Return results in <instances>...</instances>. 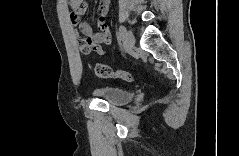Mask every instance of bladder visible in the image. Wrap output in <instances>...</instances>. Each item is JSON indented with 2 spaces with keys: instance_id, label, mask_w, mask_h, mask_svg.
I'll use <instances>...</instances> for the list:
<instances>
[{
  "instance_id": "1",
  "label": "bladder",
  "mask_w": 239,
  "mask_h": 156,
  "mask_svg": "<svg viewBox=\"0 0 239 156\" xmlns=\"http://www.w3.org/2000/svg\"><path fill=\"white\" fill-rule=\"evenodd\" d=\"M92 93L114 106H122L128 104L133 99V92L122 88H95L93 89Z\"/></svg>"
}]
</instances>
